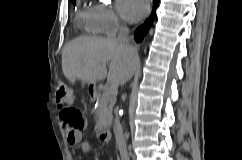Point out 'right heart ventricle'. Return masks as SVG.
Masks as SVG:
<instances>
[{
    "label": "right heart ventricle",
    "mask_w": 242,
    "mask_h": 160,
    "mask_svg": "<svg viewBox=\"0 0 242 160\" xmlns=\"http://www.w3.org/2000/svg\"><path fill=\"white\" fill-rule=\"evenodd\" d=\"M77 24L84 28L88 34L99 33L93 7L80 6L76 12Z\"/></svg>",
    "instance_id": "right-heart-ventricle-1"
}]
</instances>
